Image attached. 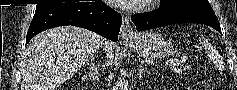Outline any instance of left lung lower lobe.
<instances>
[{
    "label": "left lung lower lobe",
    "mask_w": 237,
    "mask_h": 90,
    "mask_svg": "<svg viewBox=\"0 0 237 90\" xmlns=\"http://www.w3.org/2000/svg\"><path fill=\"white\" fill-rule=\"evenodd\" d=\"M137 31H145L176 23H199L213 27L221 33L219 21L214 12L189 8H162L148 13L131 16Z\"/></svg>",
    "instance_id": "obj_1"
}]
</instances>
